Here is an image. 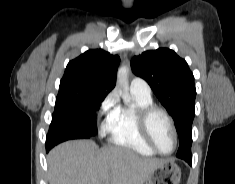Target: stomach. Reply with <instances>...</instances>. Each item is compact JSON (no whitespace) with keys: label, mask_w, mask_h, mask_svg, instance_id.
<instances>
[{"label":"stomach","mask_w":235,"mask_h":184,"mask_svg":"<svg viewBox=\"0 0 235 184\" xmlns=\"http://www.w3.org/2000/svg\"><path fill=\"white\" fill-rule=\"evenodd\" d=\"M181 178V170L177 164L165 160L163 164H159L154 168L150 178L144 184H179Z\"/></svg>","instance_id":"1"}]
</instances>
